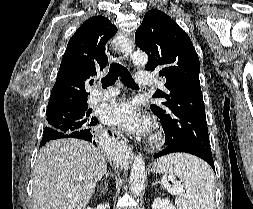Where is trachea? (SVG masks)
Masks as SVG:
<instances>
[{"mask_svg": "<svg viewBox=\"0 0 253 209\" xmlns=\"http://www.w3.org/2000/svg\"><path fill=\"white\" fill-rule=\"evenodd\" d=\"M119 76L124 85L129 88H138L127 68L119 63H112L110 65L108 74L101 79L102 87L106 88L113 85Z\"/></svg>", "mask_w": 253, "mask_h": 209, "instance_id": "1", "label": "trachea"}]
</instances>
